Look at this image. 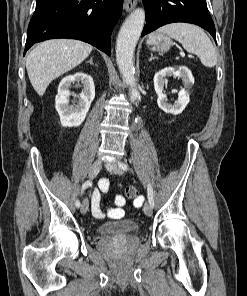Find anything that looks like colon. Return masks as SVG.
<instances>
[{"label": "colon", "mask_w": 247, "mask_h": 296, "mask_svg": "<svg viewBox=\"0 0 247 296\" xmlns=\"http://www.w3.org/2000/svg\"><path fill=\"white\" fill-rule=\"evenodd\" d=\"M136 195H137L136 188L134 186H129L125 190L124 199L132 200L136 197ZM120 215H121L120 213H117V216H120Z\"/></svg>", "instance_id": "colon-1"}]
</instances>
